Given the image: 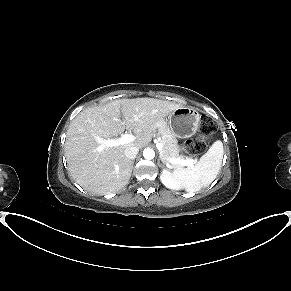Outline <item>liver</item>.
Here are the masks:
<instances>
[{"label":"liver","mask_w":291,"mask_h":291,"mask_svg":"<svg viewBox=\"0 0 291 291\" xmlns=\"http://www.w3.org/2000/svg\"><path fill=\"white\" fill-rule=\"evenodd\" d=\"M180 107L169 101L135 98L83 110L67 130L65 156L71 177L85 190L97 194L121 190L128 184L133 169L125 149L145 147L152 139L154 125ZM125 129L136 133L130 143L103 147L95 139H114Z\"/></svg>","instance_id":"liver-1"}]
</instances>
